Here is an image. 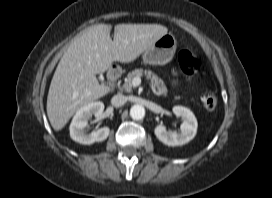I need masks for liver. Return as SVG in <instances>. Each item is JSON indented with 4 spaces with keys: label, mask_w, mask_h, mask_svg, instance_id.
Masks as SVG:
<instances>
[{
    "label": "liver",
    "mask_w": 272,
    "mask_h": 198,
    "mask_svg": "<svg viewBox=\"0 0 272 198\" xmlns=\"http://www.w3.org/2000/svg\"><path fill=\"white\" fill-rule=\"evenodd\" d=\"M111 25L89 27L63 54L51 80L47 115L54 130H61L81 107L105 96L110 88L99 84L96 74L114 61L136 60L168 29L158 24H118L114 39Z\"/></svg>",
    "instance_id": "6515ba94"
}]
</instances>
